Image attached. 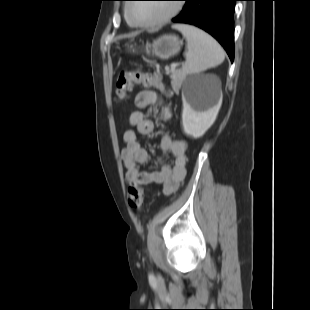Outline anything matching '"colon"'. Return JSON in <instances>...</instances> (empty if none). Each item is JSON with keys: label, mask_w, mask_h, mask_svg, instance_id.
<instances>
[{"label": "colon", "mask_w": 310, "mask_h": 310, "mask_svg": "<svg viewBox=\"0 0 310 310\" xmlns=\"http://www.w3.org/2000/svg\"><path fill=\"white\" fill-rule=\"evenodd\" d=\"M146 88L154 87L167 96L171 93L167 91L161 78L152 72H145L140 69L121 71L115 79V97L118 101H124L129 97L134 86ZM129 204L134 209H141L144 204V189L137 184H131L128 188Z\"/></svg>", "instance_id": "obj_1"}]
</instances>
